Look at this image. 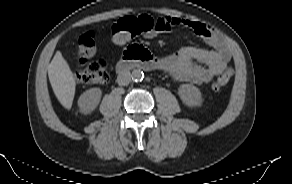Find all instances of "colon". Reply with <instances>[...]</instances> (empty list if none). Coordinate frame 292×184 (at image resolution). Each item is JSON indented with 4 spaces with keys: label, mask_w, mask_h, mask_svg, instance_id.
Returning a JSON list of instances; mask_svg holds the SVG:
<instances>
[{
    "label": "colon",
    "mask_w": 292,
    "mask_h": 184,
    "mask_svg": "<svg viewBox=\"0 0 292 184\" xmlns=\"http://www.w3.org/2000/svg\"><path fill=\"white\" fill-rule=\"evenodd\" d=\"M159 34L155 19L147 15L124 17L112 27V38L117 44H124L136 36L153 39ZM80 62L75 72L76 80L83 85L102 84L108 80V72L104 61L89 62L95 53L94 35L84 33L78 40ZM233 69L228 68L213 84L214 91L220 90L231 79Z\"/></svg>",
    "instance_id": "1"
}]
</instances>
